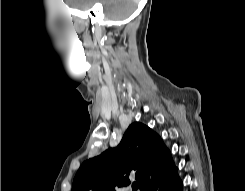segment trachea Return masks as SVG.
Masks as SVG:
<instances>
[{
	"instance_id": "1",
	"label": "trachea",
	"mask_w": 245,
	"mask_h": 191,
	"mask_svg": "<svg viewBox=\"0 0 245 191\" xmlns=\"http://www.w3.org/2000/svg\"><path fill=\"white\" fill-rule=\"evenodd\" d=\"M138 184L137 183H134L133 185H132V188H133V191H136V190H138Z\"/></svg>"
}]
</instances>
